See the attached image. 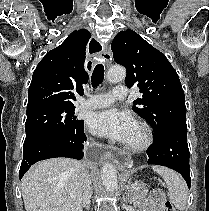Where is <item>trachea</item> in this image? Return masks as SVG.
Returning <instances> with one entry per match:
<instances>
[{
    "instance_id": "obj_1",
    "label": "trachea",
    "mask_w": 209,
    "mask_h": 211,
    "mask_svg": "<svg viewBox=\"0 0 209 211\" xmlns=\"http://www.w3.org/2000/svg\"><path fill=\"white\" fill-rule=\"evenodd\" d=\"M104 79V66L102 64H97L94 68L93 74H92V87L96 88L99 86Z\"/></svg>"
}]
</instances>
